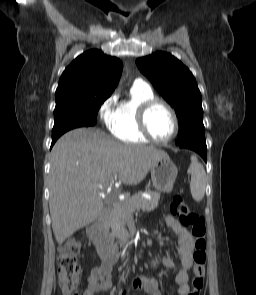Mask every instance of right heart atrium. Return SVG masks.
Instances as JSON below:
<instances>
[{
  "label": "right heart atrium",
  "mask_w": 256,
  "mask_h": 295,
  "mask_svg": "<svg viewBox=\"0 0 256 295\" xmlns=\"http://www.w3.org/2000/svg\"><path fill=\"white\" fill-rule=\"evenodd\" d=\"M116 101H117V96L112 95L111 97L106 99L99 108V114L106 124L112 113L113 105L115 104Z\"/></svg>",
  "instance_id": "right-heart-atrium-1"
}]
</instances>
